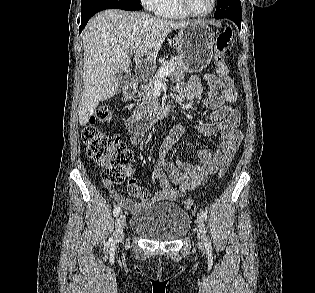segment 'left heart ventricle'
<instances>
[{"label":"left heart ventricle","mask_w":315,"mask_h":293,"mask_svg":"<svg viewBox=\"0 0 315 293\" xmlns=\"http://www.w3.org/2000/svg\"><path fill=\"white\" fill-rule=\"evenodd\" d=\"M191 9L198 14L206 13L212 5V0H189Z\"/></svg>","instance_id":"1"}]
</instances>
